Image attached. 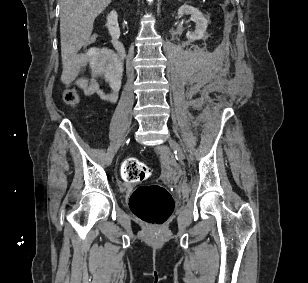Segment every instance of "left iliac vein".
<instances>
[{
    "label": "left iliac vein",
    "instance_id": "4c4485c4",
    "mask_svg": "<svg viewBox=\"0 0 308 283\" xmlns=\"http://www.w3.org/2000/svg\"><path fill=\"white\" fill-rule=\"evenodd\" d=\"M169 144H170L171 148L176 152L177 157L179 159H184V153H183V150H182L180 144L172 138L169 139Z\"/></svg>",
    "mask_w": 308,
    "mask_h": 283
}]
</instances>
